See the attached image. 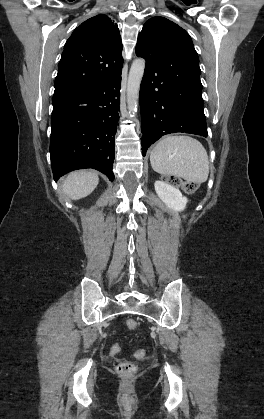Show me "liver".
<instances>
[{
  "instance_id": "1",
  "label": "liver",
  "mask_w": 264,
  "mask_h": 419,
  "mask_svg": "<svg viewBox=\"0 0 264 419\" xmlns=\"http://www.w3.org/2000/svg\"><path fill=\"white\" fill-rule=\"evenodd\" d=\"M99 177L96 172L81 170L68 174L63 182V192L72 200H79L91 194L97 187Z\"/></svg>"
}]
</instances>
